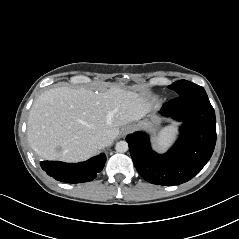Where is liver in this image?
<instances>
[{"instance_id": "6515ba94", "label": "liver", "mask_w": 239, "mask_h": 239, "mask_svg": "<svg viewBox=\"0 0 239 239\" xmlns=\"http://www.w3.org/2000/svg\"><path fill=\"white\" fill-rule=\"evenodd\" d=\"M151 110L139 94L119 87L103 92L58 87L43 92L30 109L27 137L46 160L80 162L94 156L102 138L111 142L119 127Z\"/></svg>"}]
</instances>
